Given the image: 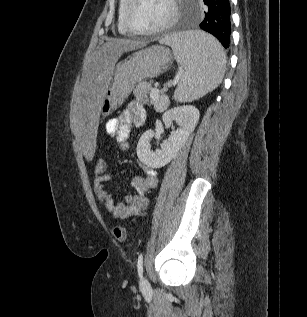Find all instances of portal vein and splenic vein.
Instances as JSON below:
<instances>
[{"label":"portal vein and splenic vein","instance_id":"18ae733b","mask_svg":"<svg viewBox=\"0 0 307 317\" xmlns=\"http://www.w3.org/2000/svg\"><path fill=\"white\" fill-rule=\"evenodd\" d=\"M177 84V81L176 82H173V85ZM159 95H160V91L158 88H153L151 89V92H150V97L153 99V100H158L159 99Z\"/></svg>","mask_w":307,"mask_h":317}]
</instances>
